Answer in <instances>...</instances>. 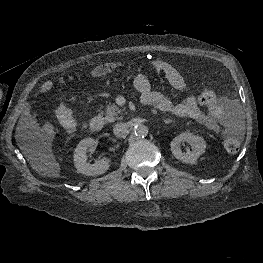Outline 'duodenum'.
<instances>
[{"label": "duodenum", "instance_id": "1", "mask_svg": "<svg viewBox=\"0 0 263 263\" xmlns=\"http://www.w3.org/2000/svg\"><path fill=\"white\" fill-rule=\"evenodd\" d=\"M104 127V120L100 115L93 117L90 121V129L93 132H99Z\"/></svg>", "mask_w": 263, "mask_h": 263}]
</instances>
